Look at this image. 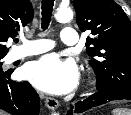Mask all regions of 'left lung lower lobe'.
Returning <instances> with one entry per match:
<instances>
[{
    "instance_id": "0a47b994",
    "label": "left lung lower lobe",
    "mask_w": 131,
    "mask_h": 115,
    "mask_svg": "<svg viewBox=\"0 0 131 115\" xmlns=\"http://www.w3.org/2000/svg\"><path fill=\"white\" fill-rule=\"evenodd\" d=\"M131 100V92L129 91H101L98 89V92L91 95L89 98L79 101L75 104L74 107H71V110L68 112V115L72 113H83L93 107L105 104L111 100Z\"/></svg>"
}]
</instances>
